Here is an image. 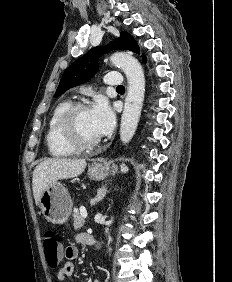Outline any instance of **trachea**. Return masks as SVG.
I'll list each match as a JSON object with an SVG mask.
<instances>
[{
	"label": "trachea",
	"instance_id": "trachea-1",
	"mask_svg": "<svg viewBox=\"0 0 232 282\" xmlns=\"http://www.w3.org/2000/svg\"><path fill=\"white\" fill-rule=\"evenodd\" d=\"M117 89H125L124 86L120 85L117 87Z\"/></svg>",
	"mask_w": 232,
	"mask_h": 282
}]
</instances>
